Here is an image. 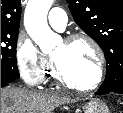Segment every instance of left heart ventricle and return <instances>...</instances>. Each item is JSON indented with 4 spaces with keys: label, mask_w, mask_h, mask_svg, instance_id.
<instances>
[{
    "label": "left heart ventricle",
    "mask_w": 123,
    "mask_h": 113,
    "mask_svg": "<svg viewBox=\"0 0 123 113\" xmlns=\"http://www.w3.org/2000/svg\"><path fill=\"white\" fill-rule=\"evenodd\" d=\"M52 57L58 61L66 76L79 85L85 86L96 77L97 57L86 41H76L70 45L62 42Z\"/></svg>",
    "instance_id": "left-heart-ventricle-1"
}]
</instances>
